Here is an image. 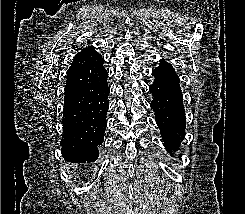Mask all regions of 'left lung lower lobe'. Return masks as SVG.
Wrapping results in <instances>:
<instances>
[{
  "label": "left lung lower lobe",
  "instance_id": "1",
  "mask_svg": "<svg viewBox=\"0 0 245 214\" xmlns=\"http://www.w3.org/2000/svg\"><path fill=\"white\" fill-rule=\"evenodd\" d=\"M155 78L150 86L156 123L161 131L164 146L169 153L176 151L184 138L186 117L179 77L171 64L161 63L152 71Z\"/></svg>",
  "mask_w": 245,
  "mask_h": 214
}]
</instances>
